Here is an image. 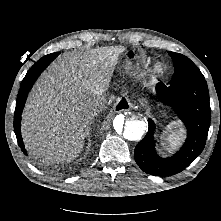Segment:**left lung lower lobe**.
Returning a JSON list of instances; mask_svg holds the SVG:
<instances>
[{
    "instance_id": "left-lung-lower-lobe-1",
    "label": "left lung lower lobe",
    "mask_w": 221,
    "mask_h": 221,
    "mask_svg": "<svg viewBox=\"0 0 221 221\" xmlns=\"http://www.w3.org/2000/svg\"><path fill=\"white\" fill-rule=\"evenodd\" d=\"M157 99L170 106L187 129L183 147L173 156L161 158L155 151V123L149 119L145 137L136 145L134 157L138 166L148 174L171 176L184 170L203 151L210 127L209 92L205 79L156 85Z\"/></svg>"
}]
</instances>
